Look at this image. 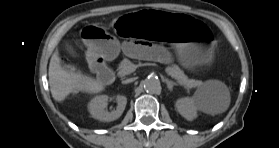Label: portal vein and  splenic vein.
Instances as JSON below:
<instances>
[{
  "mask_svg": "<svg viewBox=\"0 0 279 148\" xmlns=\"http://www.w3.org/2000/svg\"><path fill=\"white\" fill-rule=\"evenodd\" d=\"M136 68H137L136 65H132V70L133 71H135ZM180 84L185 86V87H188V88H195V87H197L199 85V84H193V83L188 82V81L181 82Z\"/></svg>",
  "mask_w": 279,
  "mask_h": 148,
  "instance_id": "obj_1",
  "label": "portal vein and splenic vein"
}]
</instances>
